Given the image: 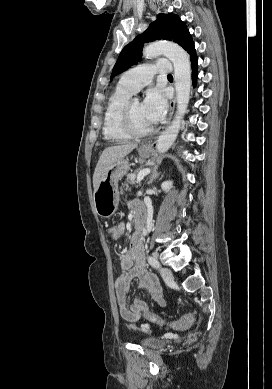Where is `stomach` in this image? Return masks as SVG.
<instances>
[{
    "label": "stomach",
    "mask_w": 272,
    "mask_h": 389,
    "mask_svg": "<svg viewBox=\"0 0 272 389\" xmlns=\"http://www.w3.org/2000/svg\"><path fill=\"white\" fill-rule=\"evenodd\" d=\"M138 153L142 158L151 156L152 150L149 147H139ZM128 158L121 159L103 172L97 189L94 191V206L96 213L102 218L111 217L117 210L119 204L118 182L129 170Z\"/></svg>",
    "instance_id": "stomach-1"
}]
</instances>
